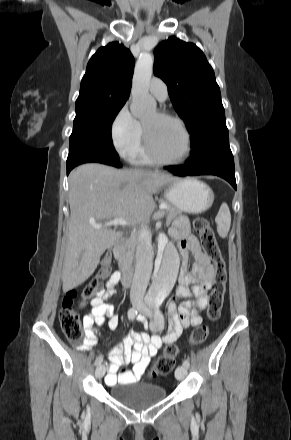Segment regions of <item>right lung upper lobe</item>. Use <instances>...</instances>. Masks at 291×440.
Segmentation results:
<instances>
[{
    "mask_svg": "<svg viewBox=\"0 0 291 440\" xmlns=\"http://www.w3.org/2000/svg\"><path fill=\"white\" fill-rule=\"evenodd\" d=\"M134 57L123 44L112 42L101 47L88 62L76 104L122 101L129 97Z\"/></svg>",
    "mask_w": 291,
    "mask_h": 440,
    "instance_id": "obj_1",
    "label": "right lung upper lobe"
}]
</instances>
